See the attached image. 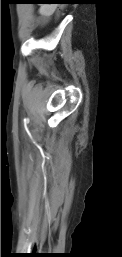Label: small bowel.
<instances>
[{
	"label": "small bowel",
	"mask_w": 122,
	"mask_h": 257,
	"mask_svg": "<svg viewBox=\"0 0 122 257\" xmlns=\"http://www.w3.org/2000/svg\"><path fill=\"white\" fill-rule=\"evenodd\" d=\"M54 7L51 5H43L39 9V14H40V23H44L53 13Z\"/></svg>",
	"instance_id": "small-bowel-1"
}]
</instances>
